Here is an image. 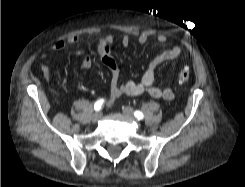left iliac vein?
<instances>
[{
	"label": "left iliac vein",
	"mask_w": 245,
	"mask_h": 187,
	"mask_svg": "<svg viewBox=\"0 0 245 187\" xmlns=\"http://www.w3.org/2000/svg\"><path fill=\"white\" fill-rule=\"evenodd\" d=\"M123 114L128 117H134V110L131 107L126 106L123 108Z\"/></svg>",
	"instance_id": "left-iliac-vein-1"
}]
</instances>
